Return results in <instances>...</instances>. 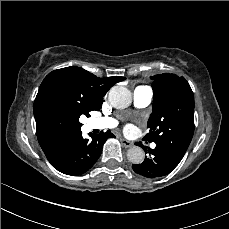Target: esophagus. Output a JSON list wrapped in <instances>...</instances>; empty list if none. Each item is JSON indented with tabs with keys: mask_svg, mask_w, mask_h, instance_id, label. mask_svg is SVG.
<instances>
[{
	"mask_svg": "<svg viewBox=\"0 0 229 229\" xmlns=\"http://www.w3.org/2000/svg\"><path fill=\"white\" fill-rule=\"evenodd\" d=\"M120 142H121L122 146L125 148H130L133 145V142H131L125 138H121Z\"/></svg>",
	"mask_w": 229,
	"mask_h": 229,
	"instance_id": "34e87169",
	"label": "esophagus"
}]
</instances>
